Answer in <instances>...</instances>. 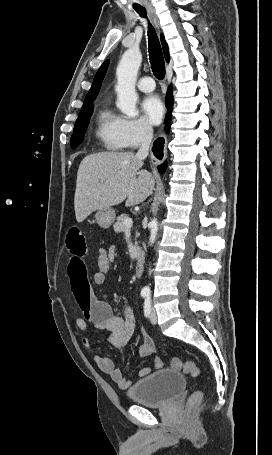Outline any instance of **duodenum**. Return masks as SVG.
<instances>
[{"mask_svg": "<svg viewBox=\"0 0 272 455\" xmlns=\"http://www.w3.org/2000/svg\"><path fill=\"white\" fill-rule=\"evenodd\" d=\"M143 266H144V255L142 252H138L136 255V267H135L137 276L141 275Z\"/></svg>", "mask_w": 272, "mask_h": 455, "instance_id": "duodenum-1", "label": "duodenum"}]
</instances>
